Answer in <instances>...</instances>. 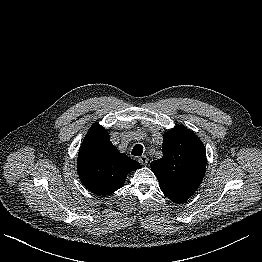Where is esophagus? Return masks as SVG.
Returning <instances> with one entry per match:
<instances>
[{"label": "esophagus", "instance_id": "obj_1", "mask_svg": "<svg viewBox=\"0 0 262 262\" xmlns=\"http://www.w3.org/2000/svg\"><path fill=\"white\" fill-rule=\"evenodd\" d=\"M139 162L142 164V165H146L148 163V158L146 155H142L140 158H139Z\"/></svg>", "mask_w": 262, "mask_h": 262}]
</instances>
